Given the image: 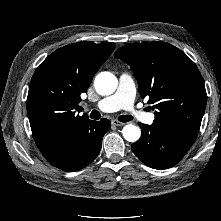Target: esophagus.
<instances>
[{"instance_id":"34e87169","label":"esophagus","mask_w":221,"mask_h":221,"mask_svg":"<svg viewBox=\"0 0 221 221\" xmlns=\"http://www.w3.org/2000/svg\"><path fill=\"white\" fill-rule=\"evenodd\" d=\"M111 123H112V125H114V126H124V125H125L124 122H120V121H118V120H112Z\"/></svg>"}]
</instances>
